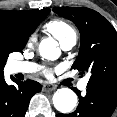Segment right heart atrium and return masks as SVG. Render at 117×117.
I'll list each match as a JSON object with an SVG mask.
<instances>
[{"mask_svg":"<svg viewBox=\"0 0 117 117\" xmlns=\"http://www.w3.org/2000/svg\"><path fill=\"white\" fill-rule=\"evenodd\" d=\"M33 40H34V36H32L29 41L32 42Z\"/></svg>","mask_w":117,"mask_h":117,"instance_id":"1","label":"right heart atrium"}]
</instances>
